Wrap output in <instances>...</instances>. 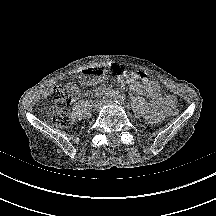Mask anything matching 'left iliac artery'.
<instances>
[{
    "label": "left iliac artery",
    "instance_id": "44dca946",
    "mask_svg": "<svg viewBox=\"0 0 216 216\" xmlns=\"http://www.w3.org/2000/svg\"><path fill=\"white\" fill-rule=\"evenodd\" d=\"M114 101L117 104H124L125 103V98L121 95H115Z\"/></svg>",
    "mask_w": 216,
    "mask_h": 216
}]
</instances>
